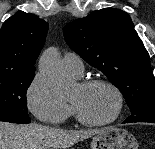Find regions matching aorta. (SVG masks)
<instances>
[{
  "label": "aorta",
  "instance_id": "aorta-1",
  "mask_svg": "<svg viewBox=\"0 0 155 149\" xmlns=\"http://www.w3.org/2000/svg\"><path fill=\"white\" fill-rule=\"evenodd\" d=\"M39 72L54 96L59 98L69 96L74 82L66 75L57 48L50 47L43 52L39 60Z\"/></svg>",
  "mask_w": 155,
  "mask_h": 149
}]
</instances>
